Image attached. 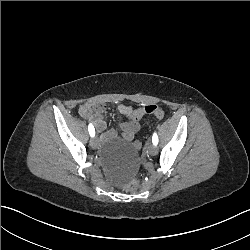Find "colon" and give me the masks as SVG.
Returning a JSON list of instances; mask_svg holds the SVG:
<instances>
[{
  "label": "colon",
  "instance_id": "5ec220e1",
  "mask_svg": "<svg viewBox=\"0 0 250 250\" xmlns=\"http://www.w3.org/2000/svg\"><path fill=\"white\" fill-rule=\"evenodd\" d=\"M153 113L156 117L158 118H161L163 115H164V112L158 108L156 105L154 104H151V105H147L145 107H141L140 109H137L135 110L131 115H130V118L133 120V121H139L140 118L142 116H146L148 114H151ZM133 146L136 148V149H139L141 146H142V143L140 140H135L134 143H133ZM142 177L137 175L134 177V179L128 183V185H125L121 188V193L122 194H128L131 192L132 189L136 188L139 183L142 182Z\"/></svg>",
  "mask_w": 250,
  "mask_h": 250
}]
</instances>
